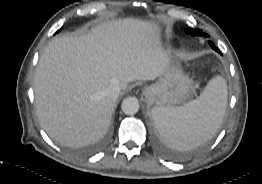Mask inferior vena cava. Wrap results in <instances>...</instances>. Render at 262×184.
I'll use <instances>...</instances> for the list:
<instances>
[{
  "instance_id": "602c4592",
  "label": "inferior vena cava",
  "mask_w": 262,
  "mask_h": 184,
  "mask_svg": "<svg viewBox=\"0 0 262 184\" xmlns=\"http://www.w3.org/2000/svg\"><path fill=\"white\" fill-rule=\"evenodd\" d=\"M120 92H121V88L119 84H111L106 90V95L109 98L117 99Z\"/></svg>"
}]
</instances>
